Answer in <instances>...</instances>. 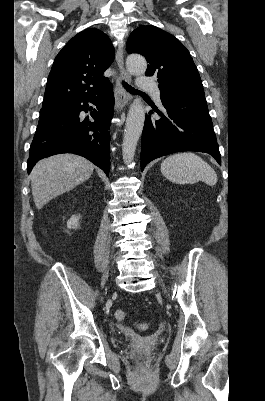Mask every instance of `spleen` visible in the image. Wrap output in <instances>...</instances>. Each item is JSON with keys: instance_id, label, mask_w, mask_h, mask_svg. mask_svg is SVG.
I'll list each match as a JSON object with an SVG mask.
<instances>
[{"instance_id": "1", "label": "spleen", "mask_w": 265, "mask_h": 401, "mask_svg": "<svg viewBox=\"0 0 265 401\" xmlns=\"http://www.w3.org/2000/svg\"><path fill=\"white\" fill-rule=\"evenodd\" d=\"M161 172L176 184H194L203 180L206 184H216L218 176L208 162L194 152H178L165 158Z\"/></svg>"}]
</instances>
